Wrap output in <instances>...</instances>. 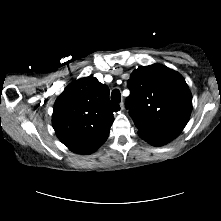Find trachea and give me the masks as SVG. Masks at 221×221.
<instances>
[{
  "instance_id": "1",
  "label": "trachea",
  "mask_w": 221,
  "mask_h": 221,
  "mask_svg": "<svg viewBox=\"0 0 221 221\" xmlns=\"http://www.w3.org/2000/svg\"><path fill=\"white\" fill-rule=\"evenodd\" d=\"M111 99L114 101V102H117L119 103L121 101V94H120V91L118 89H114L111 93Z\"/></svg>"
}]
</instances>
